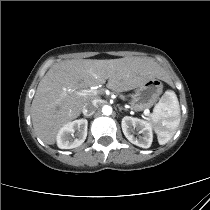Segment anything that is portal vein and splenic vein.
Instances as JSON below:
<instances>
[{
  "label": "portal vein and splenic vein",
  "mask_w": 210,
  "mask_h": 210,
  "mask_svg": "<svg viewBox=\"0 0 210 210\" xmlns=\"http://www.w3.org/2000/svg\"><path fill=\"white\" fill-rule=\"evenodd\" d=\"M89 93L96 94V91L95 90H92V89H90V90H83L82 92H80V95H87ZM145 113H148V112H145Z\"/></svg>",
  "instance_id": "1"
}]
</instances>
